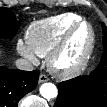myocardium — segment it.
Returning <instances> with one entry per match:
<instances>
[{
	"mask_svg": "<svg viewBox=\"0 0 107 107\" xmlns=\"http://www.w3.org/2000/svg\"><path fill=\"white\" fill-rule=\"evenodd\" d=\"M86 26L89 30V40L80 59L70 67L61 68L58 61L69 46L74 34L82 27ZM95 46V32L92 25L86 20H79L74 23L63 35L59 43L47 56V66L51 73L61 79L72 78L80 74L87 66Z\"/></svg>",
	"mask_w": 107,
	"mask_h": 107,
	"instance_id": "1",
	"label": "myocardium"
}]
</instances>
